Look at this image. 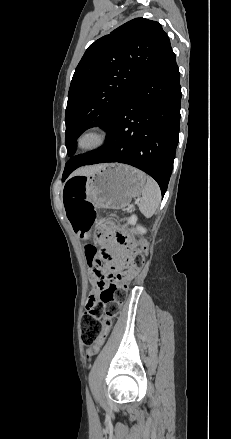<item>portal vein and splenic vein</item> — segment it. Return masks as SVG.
<instances>
[{"instance_id":"18ae733b","label":"portal vein and splenic vein","mask_w":231,"mask_h":439,"mask_svg":"<svg viewBox=\"0 0 231 439\" xmlns=\"http://www.w3.org/2000/svg\"><path fill=\"white\" fill-rule=\"evenodd\" d=\"M134 205L133 204H131V205H129V208H132Z\"/></svg>"}]
</instances>
